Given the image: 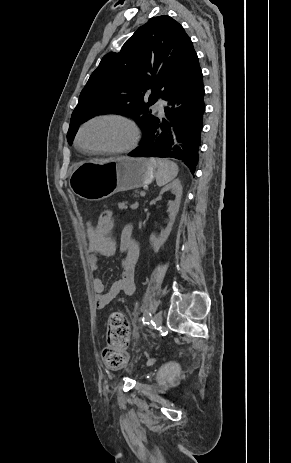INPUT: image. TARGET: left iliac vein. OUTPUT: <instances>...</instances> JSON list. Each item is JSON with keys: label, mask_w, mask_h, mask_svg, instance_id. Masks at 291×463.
I'll list each match as a JSON object with an SVG mask.
<instances>
[{"label": "left iliac vein", "mask_w": 291, "mask_h": 463, "mask_svg": "<svg viewBox=\"0 0 291 463\" xmlns=\"http://www.w3.org/2000/svg\"><path fill=\"white\" fill-rule=\"evenodd\" d=\"M153 322L156 327H159L162 324V314L157 312L153 317Z\"/></svg>", "instance_id": "4c4485c4"}]
</instances>
